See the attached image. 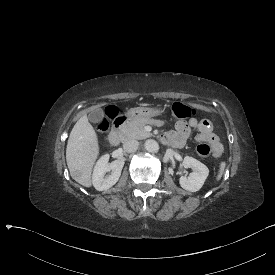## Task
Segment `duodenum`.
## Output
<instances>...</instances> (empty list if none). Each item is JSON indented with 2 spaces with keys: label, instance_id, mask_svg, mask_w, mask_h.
Masks as SVG:
<instances>
[{
  "label": "duodenum",
  "instance_id": "1",
  "mask_svg": "<svg viewBox=\"0 0 275 275\" xmlns=\"http://www.w3.org/2000/svg\"><path fill=\"white\" fill-rule=\"evenodd\" d=\"M127 122V117L122 115L116 118V120L113 123L112 130L109 135V142L113 146H117L122 138V129L125 126Z\"/></svg>",
  "mask_w": 275,
  "mask_h": 275
}]
</instances>
